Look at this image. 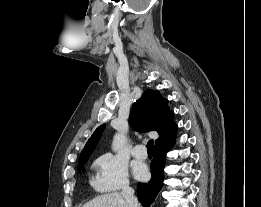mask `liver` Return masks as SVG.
I'll return each instance as SVG.
<instances>
[{
	"mask_svg": "<svg viewBox=\"0 0 261 207\" xmlns=\"http://www.w3.org/2000/svg\"><path fill=\"white\" fill-rule=\"evenodd\" d=\"M83 207H129L122 193L113 192L100 195L83 205Z\"/></svg>",
	"mask_w": 261,
	"mask_h": 207,
	"instance_id": "6515ba94",
	"label": "liver"
}]
</instances>
